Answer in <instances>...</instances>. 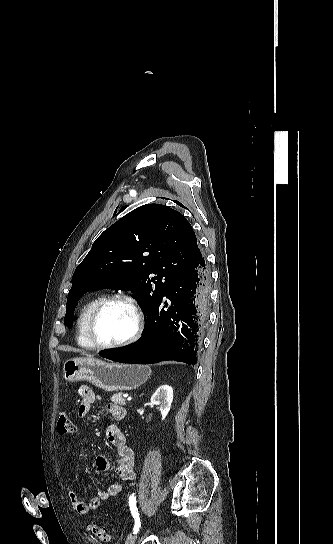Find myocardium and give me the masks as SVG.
Returning a JSON list of instances; mask_svg holds the SVG:
<instances>
[{
	"instance_id": "obj_1",
	"label": "myocardium",
	"mask_w": 333,
	"mask_h": 544,
	"mask_svg": "<svg viewBox=\"0 0 333 544\" xmlns=\"http://www.w3.org/2000/svg\"><path fill=\"white\" fill-rule=\"evenodd\" d=\"M115 301L125 302L131 307L135 316V328L133 333L123 341L116 342V343H102L98 340L96 336V323L100 314L104 310V308L110 303ZM144 326H145V317H144L143 310L141 306L139 305L138 301L131 295H128L125 293H117V294H112L102 298L96 304V306L94 307V309L89 315L86 330H87L88 339L90 340V342L93 344L95 348L117 349V348L126 347L136 342L140 338L143 332Z\"/></svg>"
}]
</instances>
